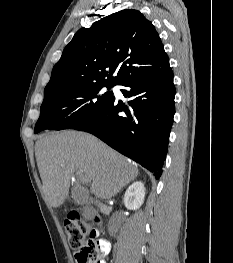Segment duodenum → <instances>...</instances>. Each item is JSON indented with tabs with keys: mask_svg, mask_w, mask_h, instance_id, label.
<instances>
[{
	"mask_svg": "<svg viewBox=\"0 0 233 263\" xmlns=\"http://www.w3.org/2000/svg\"><path fill=\"white\" fill-rule=\"evenodd\" d=\"M85 209H86V211H87V213H88V215L90 217H92L94 215L95 212H94V210L92 208H90L89 206L85 205Z\"/></svg>",
	"mask_w": 233,
	"mask_h": 263,
	"instance_id": "duodenum-1",
	"label": "duodenum"
}]
</instances>
